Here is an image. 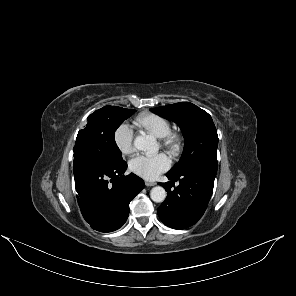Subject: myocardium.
Returning <instances> with one entry per match:
<instances>
[{"label": "myocardium", "mask_w": 296, "mask_h": 296, "mask_svg": "<svg viewBox=\"0 0 296 296\" xmlns=\"http://www.w3.org/2000/svg\"><path fill=\"white\" fill-rule=\"evenodd\" d=\"M160 146L171 155L177 156L182 150V136L177 131H170L159 139Z\"/></svg>", "instance_id": "f54148a6"}]
</instances>
